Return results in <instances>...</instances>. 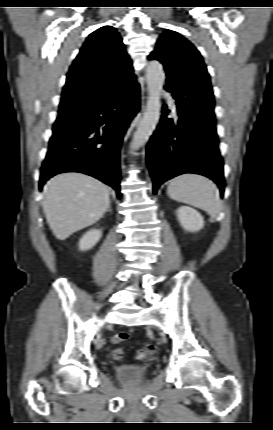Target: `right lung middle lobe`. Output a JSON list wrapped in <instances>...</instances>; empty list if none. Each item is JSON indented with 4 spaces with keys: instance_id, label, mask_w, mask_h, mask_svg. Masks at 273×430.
Masks as SVG:
<instances>
[{
    "instance_id": "right-lung-middle-lobe-1",
    "label": "right lung middle lobe",
    "mask_w": 273,
    "mask_h": 430,
    "mask_svg": "<svg viewBox=\"0 0 273 430\" xmlns=\"http://www.w3.org/2000/svg\"><path fill=\"white\" fill-rule=\"evenodd\" d=\"M85 110L83 108L67 106L59 108V115L53 126V132L73 127L79 124L83 118Z\"/></svg>"
}]
</instances>
